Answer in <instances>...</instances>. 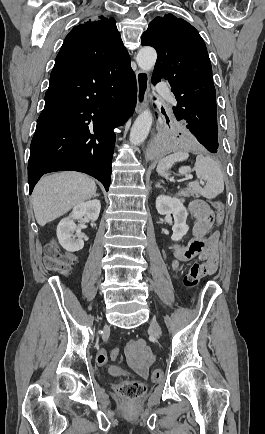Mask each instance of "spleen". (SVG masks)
Masks as SVG:
<instances>
[{
  "instance_id": "3e777b00",
  "label": "spleen",
  "mask_w": 265,
  "mask_h": 434,
  "mask_svg": "<svg viewBox=\"0 0 265 434\" xmlns=\"http://www.w3.org/2000/svg\"><path fill=\"white\" fill-rule=\"evenodd\" d=\"M188 158L189 154H187V152H175V154L166 156V158L160 160L157 166L159 176L167 180L170 176V174H167V170H170L176 162H184V160H188ZM193 170H195L199 180H206V186L201 188L198 182H190V184H188L189 188L198 192L203 198H208V200H212V198H216V196L222 194L224 190L223 172L218 162H215L211 156L199 154L196 158ZM190 172H192L190 166H181V168H179V174H181V176H186V174H190Z\"/></svg>"
}]
</instances>
